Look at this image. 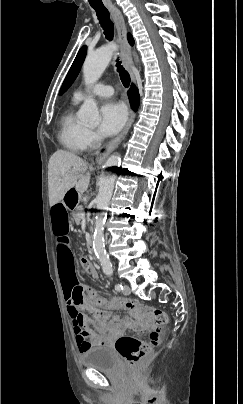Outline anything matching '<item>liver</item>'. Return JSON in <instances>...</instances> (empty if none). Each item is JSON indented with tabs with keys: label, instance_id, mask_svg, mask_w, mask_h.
<instances>
[{
	"label": "liver",
	"instance_id": "6515ba94",
	"mask_svg": "<svg viewBox=\"0 0 243 404\" xmlns=\"http://www.w3.org/2000/svg\"><path fill=\"white\" fill-rule=\"evenodd\" d=\"M88 166L82 158L72 152L57 150L51 156L48 164V192L49 204L54 206L63 200L70 188H74L79 194L86 192L90 174Z\"/></svg>",
	"mask_w": 243,
	"mask_h": 404
}]
</instances>
